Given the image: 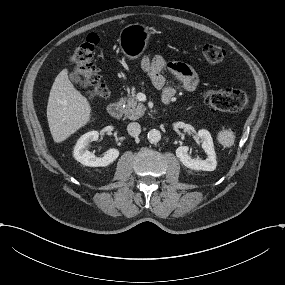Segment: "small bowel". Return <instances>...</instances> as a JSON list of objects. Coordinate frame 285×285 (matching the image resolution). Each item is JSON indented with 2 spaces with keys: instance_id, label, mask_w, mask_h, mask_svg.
Segmentation results:
<instances>
[{
  "instance_id": "obj_1",
  "label": "small bowel",
  "mask_w": 285,
  "mask_h": 285,
  "mask_svg": "<svg viewBox=\"0 0 285 285\" xmlns=\"http://www.w3.org/2000/svg\"><path fill=\"white\" fill-rule=\"evenodd\" d=\"M143 69L149 76L152 84L162 89L164 101L170 102L176 93L175 86L167 83L163 72L167 70L186 91H194L200 82L197 73L189 65L179 61H167L161 55H154L143 60Z\"/></svg>"
}]
</instances>
